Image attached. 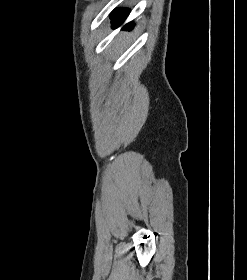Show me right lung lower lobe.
Masks as SVG:
<instances>
[{
    "label": "right lung lower lobe",
    "mask_w": 247,
    "mask_h": 280,
    "mask_svg": "<svg viewBox=\"0 0 247 280\" xmlns=\"http://www.w3.org/2000/svg\"><path fill=\"white\" fill-rule=\"evenodd\" d=\"M129 14V10L128 9H115L111 14H110V18L112 20V24L113 26H120L123 24V22L125 21V19L127 18ZM133 27V23L130 22L128 24L125 25L126 29H131Z\"/></svg>",
    "instance_id": "obj_1"
}]
</instances>
